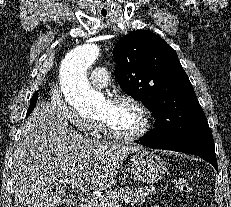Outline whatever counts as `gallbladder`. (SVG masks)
Listing matches in <instances>:
<instances>
[{
  "mask_svg": "<svg viewBox=\"0 0 231 207\" xmlns=\"http://www.w3.org/2000/svg\"><path fill=\"white\" fill-rule=\"evenodd\" d=\"M76 201H77L76 198L69 197L66 199V204L67 205H73L76 203Z\"/></svg>",
  "mask_w": 231,
  "mask_h": 207,
  "instance_id": "bac80fb5",
  "label": "gallbladder"
}]
</instances>
